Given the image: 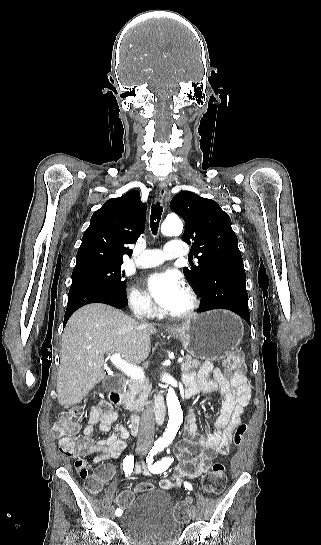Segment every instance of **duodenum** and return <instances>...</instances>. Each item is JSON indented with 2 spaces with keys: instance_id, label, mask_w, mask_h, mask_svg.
Wrapping results in <instances>:
<instances>
[{
  "instance_id": "410a0bca",
  "label": "duodenum",
  "mask_w": 321,
  "mask_h": 545,
  "mask_svg": "<svg viewBox=\"0 0 321 545\" xmlns=\"http://www.w3.org/2000/svg\"><path fill=\"white\" fill-rule=\"evenodd\" d=\"M124 380L119 376H109L104 382V388L108 392L110 400L114 403L123 401ZM165 413L164 397L158 396L155 399L154 419L157 424H162ZM141 419L137 415H132L129 420V429L132 435H137L139 432Z\"/></svg>"
}]
</instances>
